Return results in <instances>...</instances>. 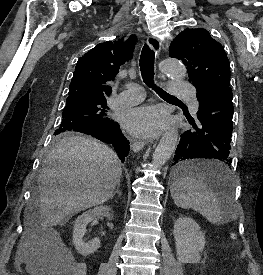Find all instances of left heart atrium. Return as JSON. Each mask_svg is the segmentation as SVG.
I'll use <instances>...</instances> for the list:
<instances>
[{"label": "left heart atrium", "mask_w": 263, "mask_h": 275, "mask_svg": "<svg viewBox=\"0 0 263 275\" xmlns=\"http://www.w3.org/2000/svg\"><path fill=\"white\" fill-rule=\"evenodd\" d=\"M123 124L128 131L136 136H149L163 128L165 116L157 107H138L123 116Z\"/></svg>", "instance_id": "39dd6f15"}]
</instances>
